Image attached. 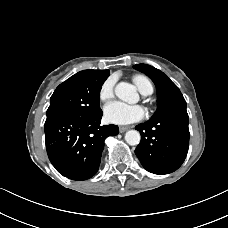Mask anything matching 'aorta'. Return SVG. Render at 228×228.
<instances>
[{"mask_svg": "<svg viewBox=\"0 0 228 228\" xmlns=\"http://www.w3.org/2000/svg\"><path fill=\"white\" fill-rule=\"evenodd\" d=\"M115 94L122 101L129 103H136L139 99L135 86L127 82L118 83L115 87ZM140 139L141 136L137 130H130L125 134V141L131 146L138 145Z\"/></svg>", "mask_w": 228, "mask_h": 228, "instance_id": "762f6f07", "label": "aorta"}]
</instances>
